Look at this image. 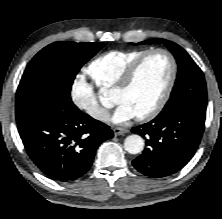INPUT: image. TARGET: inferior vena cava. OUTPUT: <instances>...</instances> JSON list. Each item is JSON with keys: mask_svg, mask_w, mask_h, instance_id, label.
<instances>
[{"mask_svg": "<svg viewBox=\"0 0 222 219\" xmlns=\"http://www.w3.org/2000/svg\"><path fill=\"white\" fill-rule=\"evenodd\" d=\"M100 118H101V119L109 118V114H108V113L101 114V115H100Z\"/></svg>", "mask_w": 222, "mask_h": 219, "instance_id": "1", "label": "inferior vena cava"}]
</instances>
